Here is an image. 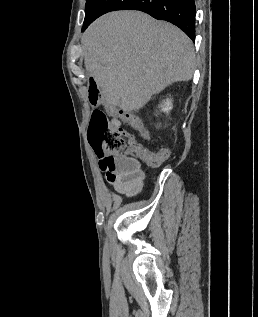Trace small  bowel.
Listing matches in <instances>:
<instances>
[{
  "instance_id": "obj_1",
  "label": "small bowel",
  "mask_w": 258,
  "mask_h": 317,
  "mask_svg": "<svg viewBox=\"0 0 258 317\" xmlns=\"http://www.w3.org/2000/svg\"><path fill=\"white\" fill-rule=\"evenodd\" d=\"M112 125L114 127L132 126L144 138L150 139L148 131L140 120L134 116L114 113ZM157 152L163 153L165 159L170 154L167 147H161ZM96 154L99 158V167L105 173L107 182L113 186L118 194L124 197H132L140 193L144 185V172L138 160L125 156H109L99 152H96Z\"/></svg>"
}]
</instances>
